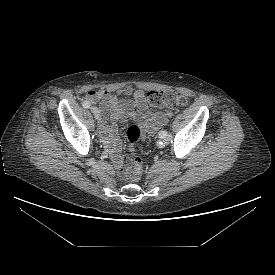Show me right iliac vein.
I'll use <instances>...</instances> for the list:
<instances>
[{
	"label": "right iliac vein",
	"mask_w": 275,
	"mask_h": 275,
	"mask_svg": "<svg viewBox=\"0 0 275 275\" xmlns=\"http://www.w3.org/2000/svg\"><path fill=\"white\" fill-rule=\"evenodd\" d=\"M92 113L94 114L95 119H99L100 117V111L97 107L93 106L91 108Z\"/></svg>",
	"instance_id": "obj_1"
}]
</instances>
